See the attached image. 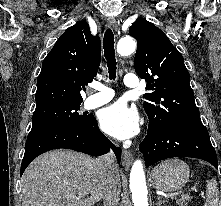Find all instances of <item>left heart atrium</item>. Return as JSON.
Instances as JSON below:
<instances>
[{
  "label": "left heart atrium",
  "mask_w": 221,
  "mask_h": 206,
  "mask_svg": "<svg viewBox=\"0 0 221 206\" xmlns=\"http://www.w3.org/2000/svg\"><path fill=\"white\" fill-rule=\"evenodd\" d=\"M99 123L107 134L126 139L137 133L139 117L134 108L127 106L124 101H117L100 112Z\"/></svg>",
  "instance_id": "39dd6f15"
}]
</instances>
